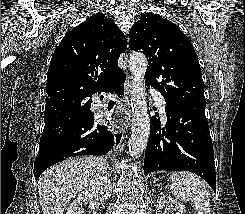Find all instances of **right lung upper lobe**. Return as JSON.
I'll return each mask as SVG.
<instances>
[{
    "label": "right lung upper lobe",
    "mask_w": 245,
    "mask_h": 214,
    "mask_svg": "<svg viewBox=\"0 0 245 214\" xmlns=\"http://www.w3.org/2000/svg\"><path fill=\"white\" fill-rule=\"evenodd\" d=\"M127 41L114 21L96 13L72 29L52 56L47 74L44 119L56 113H71L90 105L94 93L107 92L124 76L117 62ZM64 97V105H54ZM55 112H49L50 106Z\"/></svg>",
    "instance_id": "right-lung-upper-lobe-1"
}]
</instances>
